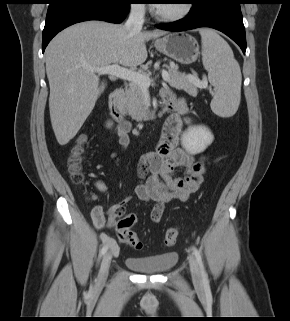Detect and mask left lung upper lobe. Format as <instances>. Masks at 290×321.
<instances>
[{
  "label": "left lung upper lobe",
  "mask_w": 290,
  "mask_h": 321,
  "mask_svg": "<svg viewBox=\"0 0 290 321\" xmlns=\"http://www.w3.org/2000/svg\"><path fill=\"white\" fill-rule=\"evenodd\" d=\"M189 1H190L191 4L196 5V4L200 3V2H202L203 0H189Z\"/></svg>",
  "instance_id": "obj_1"
}]
</instances>
